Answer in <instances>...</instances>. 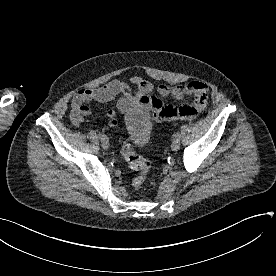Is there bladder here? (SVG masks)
<instances>
[{
	"label": "bladder",
	"mask_w": 276,
	"mask_h": 276,
	"mask_svg": "<svg viewBox=\"0 0 276 276\" xmlns=\"http://www.w3.org/2000/svg\"><path fill=\"white\" fill-rule=\"evenodd\" d=\"M124 124L127 136L134 145L143 147L148 143L152 131L149 112L136 110L127 114Z\"/></svg>",
	"instance_id": "1"
}]
</instances>
